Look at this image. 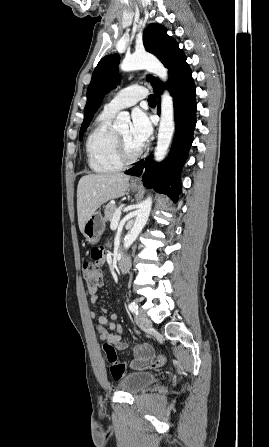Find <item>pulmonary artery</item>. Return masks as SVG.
<instances>
[{
  "label": "pulmonary artery",
  "mask_w": 269,
  "mask_h": 447,
  "mask_svg": "<svg viewBox=\"0 0 269 447\" xmlns=\"http://www.w3.org/2000/svg\"><path fill=\"white\" fill-rule=\"evenodd\" d=\"M148 95L146 88L139 85H132L120 90L107 104L104 111L115 114L120 110L131 107Z\"/></svg>",
  "instance_id": "obj_1"
}]
</instances>
